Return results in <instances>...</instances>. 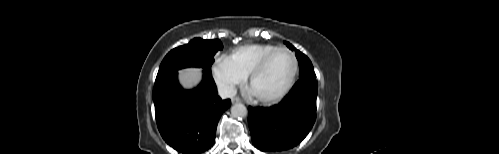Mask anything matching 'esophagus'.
Masks as SVG:
<instances>
[{
  "mask_svg": "<svg viewBox=\"0 0 499 154\" xmlns=\"http://www.w3.org/2000/svg\"><path fill=\"white\" fill-rule=\"evenodd\" d=\"M231 101H232L233 104L241 102L240 98H238V97H233L231 99Z\"/></svg>",
  "mask_w": 499,
  "mask_h": 154,
  "instance_id": "esophagus-1",
  "label": "esophagus"
}]
</instances>
